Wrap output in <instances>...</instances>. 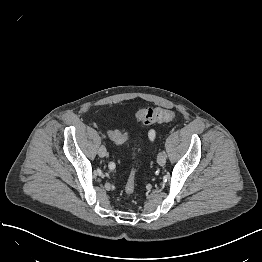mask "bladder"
Listing matches in <instances>:
<instances>
[{"label":"bladder","mask_w":262,"mask_h":262,"mask_svg":"<svg viewBox=\"0 0 262 262\" xmlns=\"http://www.w3.org/2000/svg\"><path fill=\"white\" fill-rule=\"evenodd\" d=\"M136 144H137L139 147H141V145H142L141 141H139V140L136 142Z\"/></svg>","instance_id":"31cf9c89"}]
</instances>
